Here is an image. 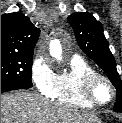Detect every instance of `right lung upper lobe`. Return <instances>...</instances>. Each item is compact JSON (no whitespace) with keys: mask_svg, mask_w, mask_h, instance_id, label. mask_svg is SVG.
Segmentation results:
<instances>
[{"mask_svg":"<svg viewBox=\"0 0 122 123\" xmlns=\"http://www.w3.org/2000/svg\"><path fill=\"white\" fill-rule=\"evenodd\" d=\"M40 30L20 12L1 16V53L32 54Z\"/></svg>","mask_w":122,"mask_h":123,"instance_id":"obj_1","label":"right lung upper lobe"}]
</instances>
